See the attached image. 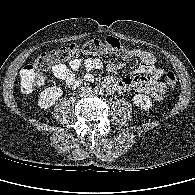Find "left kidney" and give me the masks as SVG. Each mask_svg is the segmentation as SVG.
Here are the masks:
<instances>
[{"label":"left kidney","instance_id":"left-kidney-1","mask_svg":"<svg viewBox=\"0 0 195 195\" xmlns=\"http://www.w3.org/2000/svg\"><path fill=\"white\" fill-rule=\"evenodd\" d=\"M133 103L143 110H147L152 107V100L149 96L143 94H136L133 97Z\"/></svg>","mask_w":195,"mask_h":195}]
</instances>
